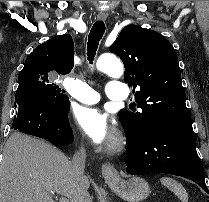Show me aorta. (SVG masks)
Returning <instances> with one entry per match:
<instances>
[{
	"mask_svg": "<svg viewBox=\"0 0 209 202\" xmlns=\"http://www.w3.org/2000/svg\"><path fill=\"white\" fill-rule=\"evenodd\" d=\"M96 67L99 71L113 78H120L124 72L121 61L116 56L110 54L101 55L97 60Z\"/></svg>",
	"mask_w": 209,
	"mask_h": 202,
	"instance_id": "obj_1",
	"label": "aorta"
}]
</instances>
